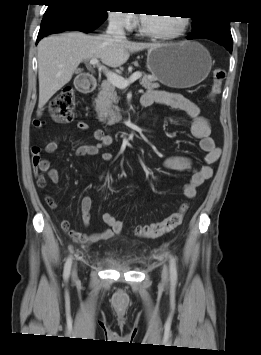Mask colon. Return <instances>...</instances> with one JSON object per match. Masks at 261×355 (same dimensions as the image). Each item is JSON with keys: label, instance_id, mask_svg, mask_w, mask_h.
Segmentation results:
<instances>
[{"label": "colon", "instance_id": "1", "mask_svg": "<svg viewBox=\"0 0 261 355\" xmlns=\"http://www.w3.org/2000/svg\"><path fill=\"white\" fill-rule=\"evenodd\" d=\"M225 77L224 69L214 70L208 95L210 100H213L220 93ZM50 113L52 120L56 123H69L74 119L75 96L71 87H64L53 96L50 101ZM187 209V205L184 204L159 222L137 226L135 232L138 236L145 238H157L170 233L182 223Z\"/></svg>", "mask_w": 261, "mask_h": 355}]
</instances>
